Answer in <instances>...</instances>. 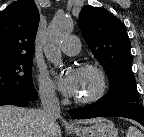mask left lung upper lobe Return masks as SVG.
Instances as JSON below:
<instances>
[{
    "label": "left lung upper lobe",
    "mask_w": 144,
    "mask_h": 137,
    "mask_svg": "<svg viewBox=\"0 0 144 137\" xmlns=\"http://www.w3.org/2000/svg\"><path fill=\"white\" fill-rule=\"evenodd\" d=\"M79 23L86 43L110 81L109 92L101 100L106 104L138 103L130 41L124 24L108 10L90 5L81 10Z\"/></svg>",
    "instance_id": "obj_1"
}]
</instances>
